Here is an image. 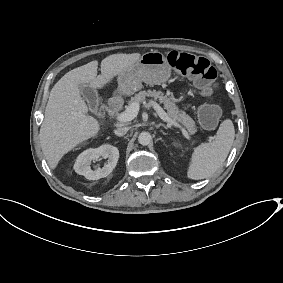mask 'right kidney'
Masks as SVG:
<instances>
[{
	"label": "right kidney",
	"instance_id": "ca27d5eb",
	"mask_svg": "<svg viewBox=\"0 0 283 283\" xmlns=\"http://www.w3.org/2000/svg\"><path fill=\"white\" fill-rule=\"evenodd\" d=\"M100 157L108 159L102 168L92 170L91 161H96ZM119 159V150L109 144H104L98 148H90L83 151L76 159L74 170L77 174L83 175L89 180H98L107 177L115 168Z\"/></svg>",
	"mask_w": 283,
	"mask_h": 283
}]
</instances>
